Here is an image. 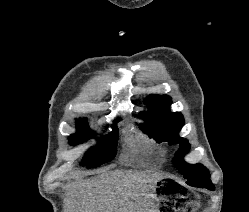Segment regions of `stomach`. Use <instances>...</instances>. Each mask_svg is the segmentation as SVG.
<instances>
[{
  "label": "stomach",
  "instance_id": "1",
  "mask_svg": "<svg viewBox=\"0 0 249 212\" xmlns=\"http://www.w3.org/2000/svg\"><path fill=\"white\" fill-rule=\"evenodd\" d=\"M155 194L159 212H188V208H198L200 204L198 194L173 178L158 180Z\"/></svg>",
  "mask_w": 249,
  "mask_h": 212
}]
</instances>
